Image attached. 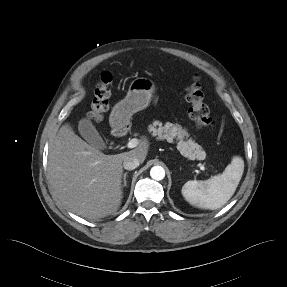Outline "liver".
<instances>
[{"label": "liver", "instance_id": "liver-1", "mask_svg": "<svg viewBox=\"0 0 287 287\" xmlns=\"http://www.w3.org/2000/svg\"><path fill=\"white\" fill-rule=\"evenodd\" d=\"M149 143L143 139L135 149L105 155L64 124L50 144L48 176L54 194L73 213L97 220L116 212L123 198V161L132 156L142 163Z\"/></svg>", "mask_w": 287, "mask_h": 287}]
</instances>
